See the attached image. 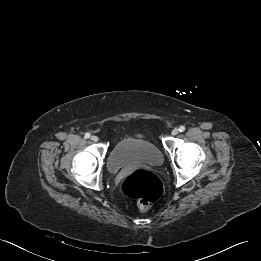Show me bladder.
Returning <instances> with one entry per match:
<instances>
[{"instance_id": "31cf9c89", "label": "bladder", "mask_w": 261, "mask_h": 261, "mask_svg": "<svg viewBox=\"0 0 261 261\" xmlns=\"http://www.w3.org/2000/svg\"><path fill=\"white\" fill-rule=\"evenodd\" d=\"M162 163V154L155 144L132 137L118 141L112 147L107 158V166L111 172H117L126 166L158 167Z\"/></svg>"}]
</instances>
